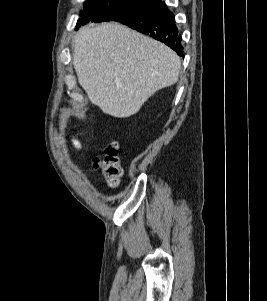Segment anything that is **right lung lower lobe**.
I'll return each instance as SVG.
<instances>
[{
    "instance_id": "1",
    "label": "right lung lower lobe",
    "mask_w": 267,
    "mask_h": 301,
    "mask_svg": "<svg viewBox=\"0 0 267 301\" xmlns=\"http://www.w3.org/2000/svg\"><path fill=\"white\" fill-rule=\"evenodd\" d=\"M114 21L150 35L171 47L178 55L183 56L181 36L175 25V17L165 3L150 5L145 9L118 17Z\"/></svg>"
}]
</instances>
